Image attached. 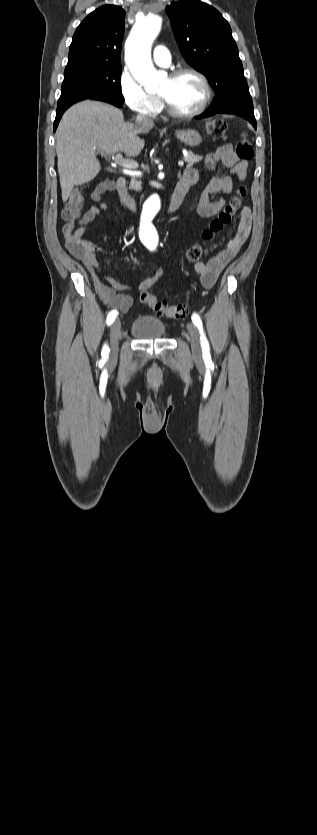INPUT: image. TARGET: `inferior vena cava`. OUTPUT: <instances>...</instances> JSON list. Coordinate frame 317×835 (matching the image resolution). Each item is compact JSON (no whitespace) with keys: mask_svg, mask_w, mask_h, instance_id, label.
Here are the masks:
<instances>
[{"mask_svg":"<svg viewBox=\"0 0 317 835\" xmlns=\"http://www.w3.org/2000/svg\"><path fill=\"white\" fill-rule=\"evenodd\" d=\"M135 123H136V126H137V127H139V128H150V127H152V126H153V121H152V119H150V118L146 117V116H145V115H143V114H138V115L136 116V121H135Z\"/></svg>","mask_w":317,"mask_h":835,"instance_id":"1","label":"inferior vena cava"}]
</instances>
